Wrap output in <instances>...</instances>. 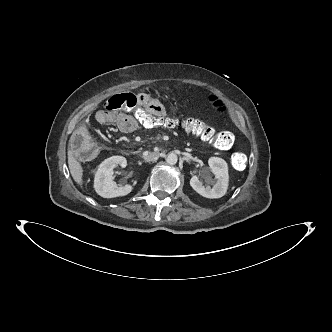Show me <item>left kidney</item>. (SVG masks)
<instances>
[{
    "label": "left kidney",
    "instance_id": "5707ae66",
    "mask_svg": "<svg viewBox=\"0 0 332 332\" xmlns=\"http://www.w3.org/2000/svg\"><path fill=\"white\" fill-rule=\"evenodd\" d=\"M208 164L212 173L217 178L216 184L212 188L210 186L204 187L199 177L194 175L190 180V185L203 197L211 199L220 198L225 195L228 187V165L223 159L218 157H211L208 160Z\"/></svg>",
    "mask_w": 332,
    "mask_h": 332
}]
</instances>
